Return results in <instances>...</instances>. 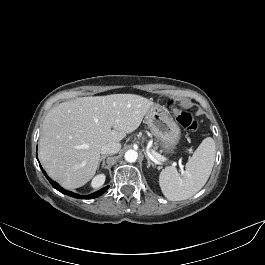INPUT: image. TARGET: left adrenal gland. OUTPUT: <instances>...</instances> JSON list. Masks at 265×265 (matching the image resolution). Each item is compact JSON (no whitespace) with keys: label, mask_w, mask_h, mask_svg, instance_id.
<instances>
[{"label":"left adrenal gland","mask_w":265,"mask_h":265,"mask_svg":"<svg viewBox=\"0 0 265 265\" xmlns=\"http://www.w3.org/2000/svg\"><path fill=\"white\" fill-rule=\"evenodd\" d=\"M144 154H145V157L147 159V168H149L151 165L154 167V163L150 160V158L148 157L146 152H144Z\"/></svg>","instance_id":"left-adrenal-gland-1"}]
</instances>
